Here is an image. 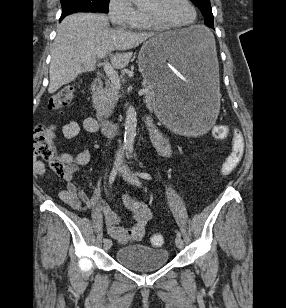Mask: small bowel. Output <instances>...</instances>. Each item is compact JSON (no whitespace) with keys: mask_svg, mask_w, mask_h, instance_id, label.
Wrapping results in <instances>:
<instances>
[{"mask_svg":"<svg viewBox=\"0 0 286 308\" xmlns=\"http://www.w3.org/2000/svg\"><path fill=\"white\" fill-rule=\"evenodd\" d=\"M99 125L92 117L85 118L82 122L70 121L63 125L62 135L65 139H72L79 135L81 131L87 133H97ZM51 137H54V128L50 130ZM241 139L239 133L234 131L233 139ZM242 140V139H241ZM154 144L158 152L165 158H172L173 152L170 144L164 138H155ZM91 154L87 147L76 154H62V160L67 167V174L64 177L66 182L65 189L59 193L60 199L74 210L84 211L91 208H98L102 211L109 235L121 244L128 242H137L141 240L144 234L146 224L151 218V212L148 206L138 201L131 195L123 196V203L131 213L133 224L130 227L121 225L122 218L104 206L100 199L101 178L92 187L90 194L86 195L75 181V175L80 167L87 165L90 161ZM35 169L38 174L45 175L46 168L42 162L35 163Z\"/></svg>","mask_w":286,"mask_h":308,"instance_id":"1","label":"small bowel"}]
</instances>
